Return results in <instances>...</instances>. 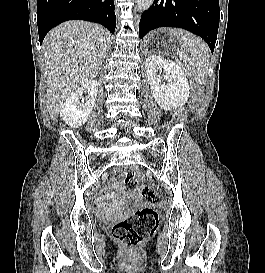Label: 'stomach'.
I'll list each match as a JSON object with an SVG mask.
<instances>
[{
	"label": "stomach",
	"mask_w": 265,
	"mask_h": 273,
	"mask_svg": "<svg viewBox=\"0 0 265 273\" xmlns=\"http://www.w3.org/2000/svg\"><path fill=\"white\" fill-rule=\"evenodd\" d=\"M154 35H147V40H141L143 49H174L176 35L180 30H154ZM152 56H172V51H152Z\"/></svg>",
	"instance_id": "stomach-1"
}]
</instances>
